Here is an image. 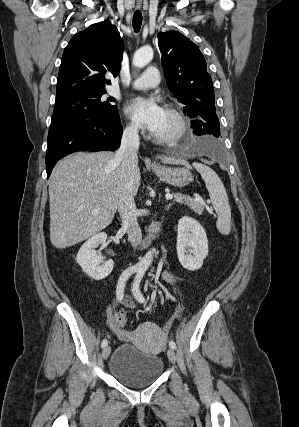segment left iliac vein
I'll use <instances>...</instances> for the list:
<instances>
[{"mask_svg":"<svg viewBox=\"0 0 299 427\" xmlns=\"http://www.w3.org/2000/svg\"><path fill=\"white\" fill-rule=\"evenodd\" d=\"M167 355H168L169 360L172 363H175V361H176V355H175L174 349H172V348L168 349Z\"/></svg>","mask_w":299,"mask_h":427,"instance_id":"1","label":"left iliac vein"}]
</instances>
